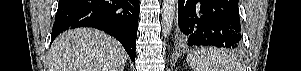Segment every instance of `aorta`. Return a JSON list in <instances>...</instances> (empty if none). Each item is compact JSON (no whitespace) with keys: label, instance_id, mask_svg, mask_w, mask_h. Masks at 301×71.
I'll use <instances>...</instances> for the list:
<instances>
[{"label":"aorta","instance_id":"762f6f07","mask_svg":"<svg viewBox=\"0 0 301 71\" xmlns=\"http://www.w3.org/2000/svg\"><path fill=\"white\" fill-rule=\"evenodd\" d=\"M177 0H163L162 3V33L164 38L169 37L175 17Z\"/></svg>","mask_w":301,"mask_h":71}]
</instances>
